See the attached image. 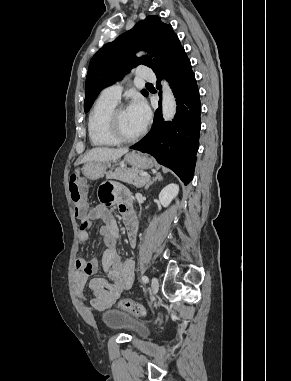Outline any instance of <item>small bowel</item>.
Segmentation results:
<instances>
[{"mask_svg":"<svg viewBox=\"0 0 291 381\" xmlns=\"http://www.w3.org/2000/svg\"><path fill=\"white\" fill-rule=\"evenodd\" d=\"M100 196H106L107 201L91 208L89 212L81 218V229L78 233V240L87 243L90 239L88 228L95 220L102 222L99 232L106 245L101 260V267L106 272V277H93L98 270L96 260H87L79 257L75 261L76 274L74 285L76 292L82 295L88 283L89 291L94 295L90 301L91 306L96 310H105L112 306L124 290L132 286L134 278V262L130 259L123 260L117 250V240L119 231L117 225L108 209L113 201L118 204V210L122 215L124 225L127 229L131 246L136 245L138 225L133 212L131 211L129 195L122 189L113 187H103L100 189Z\"/></svg>","mask_w":291,"mask_h":381,"instance_id":"obj_1","label":"small bowel"}]
</instances>
